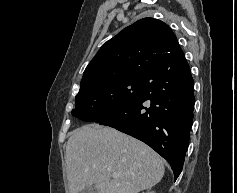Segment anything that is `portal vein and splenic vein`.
I'll return each instance as SVG.
<instances>
[{
    "label": "portal vein and splenic vein",
    "mask_w": 237,
    "mask_h": 193,
    "mask_svg": "<svg viewBox=\"0 0 237 193\" xmlns=\"http://www.w3.org/2000/svg\"><path fill=\"white\" fill-rule=\"evenodd\" d=\"M109 170H111V168H109ZM113 176H118V174L116 172H113Z\"/></svg>",
    "instance_id": "1"
}]
</instances>
